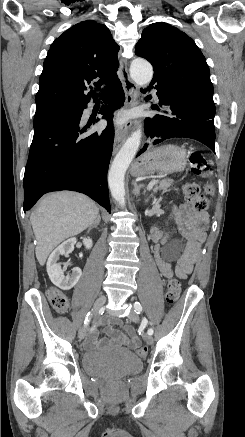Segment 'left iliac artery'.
Here are the masks:
<instances>
[{
    "mask_svg": "<svg viewBox=\"0 0 245 437\" xmlns=\"http://www.w3.org/2000/svg\"><path fill=\"white\" fill-rule=\"evenodd\" d=\"M134 308H135V311L137 312V314H140V313L142 312V305H141L139 302H135V303H134ZM142 323H147V320H146V319H143ZM153 332H154V331H153L152 328H149L148 331H147V333H148L149 335H152Z\"/></svg>",
    "mask_w": 245,
    "mask_h": 437,
    "instance_id": "left-iliac-artery-1",
    "label": "left iliac artery"
}]
</instances>
